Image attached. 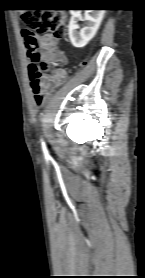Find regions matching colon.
Segmentation results:
<instances>
[{
  "label": "colon",
  "mask_w": 145,
  "mask_h": 278,
  "mask_svg": "<svg viewBox=\"0 0 145 278\" xmlns=\"http://www.w3.org/2000/svg\"><path fill=\"white\" fill-rule=\"evenodd\" d=\"M22 22L25 28L21 31V36L29 61L28 75L34 92V103L39 107L45 98L39 84L42 78L40 69L56 65L64 57L53 43L40 44L37 34L65 37L67 34L66 18L57 13H27L22 16ZM56 83V80L49 82L51 85Z\"/></svg>",
  "instance_id": "5ec220e1"
}]
</instances>
